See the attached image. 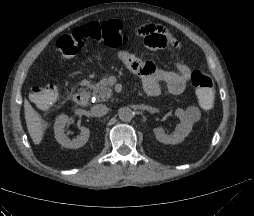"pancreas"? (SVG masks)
Returning <instances> with one entry per match:
<instances>
[{
	"label": "pancreas",
	"instance_id": "cf45deb5",
	"mask_svg": "<svg viewBox=\"0 0 254 216\" xmlns=\"http://www.w3.org/2000/svg\"><path fill=\"white\" fill-rule=\"evenodd\" d=\"M93 90V96L96 97L97 101H105L112 96V90L108 86L107 78H102L95 85H88Z\"/></svg>",
	"mask_w": 254,
	"mask_h": 216
}]
</instances>
